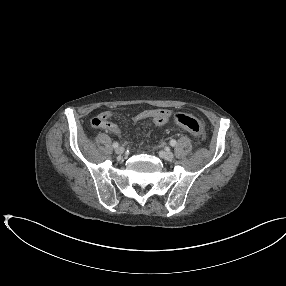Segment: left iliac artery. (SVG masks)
I'll list each match as a JSON object with an SVG mask.
<instances>
[{
    "label": "left iliac artery",
    "instance_id": "1",
    "mask_svg": "<svg viewBox=\"0 0 286 286\" xmlns=\"http://www.w3.org/2000/svg\"><path fill=\"white\" fill-rule=\"evenodd\" d=\"M170 145H171V146H175V145H176V140L172 139V140L170 141Z\"/></svg>",
    "mask_w": 286,
    "mask_h": 286
}]
</instances>
